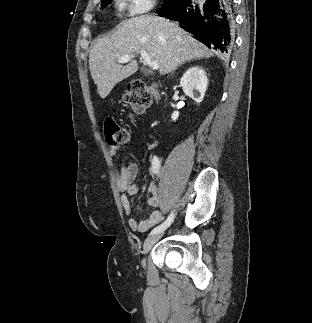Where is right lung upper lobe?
Segmentation results:
<instances>
[{
	"label": "right lung upper lobe",
	"instance_id": "1",
	"mask_svg": "<svg viewBox=\"0 0 312 323\" xmlns=\"http://www.w3.org/2000/svg\"><path fill=\"white\" fill-rule=\"evenodd\" d=\"M108 0H101V4L107 2Z\"/></svg>",
	"mask_w": 312,
	"mask_h": 323
}]
</instances>
